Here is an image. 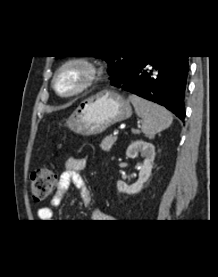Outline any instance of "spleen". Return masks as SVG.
<instances>
[{"label":"spleen","instance_id":"1","mask_svg":"<svg viewBox=\"0 0 218 277\" xmlns=\"http://www.w3.org/2000/svg\"><path fill=\"white\" fill-rule=\"evenodd\" d=\"M135 111L142 118V132L149 138L168 128L173 121L172 114L164 107L147 101L137 95H129Z\"/></svg>","mask_w":218,"mask_h":277}]
</instances>
